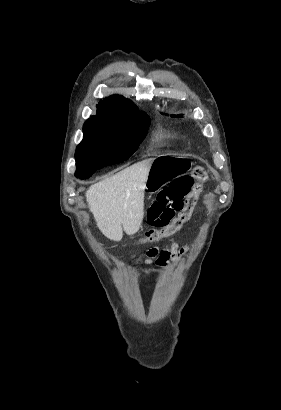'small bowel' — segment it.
Masks as SVG:
<instances>
[{
    "label": "small bowel",
    "instance_id": "obj_1",
    "mask_svg": "<svg viewBox=\"0 0 281 410\" xmlns=\"http://www.w3.org/2000/svg\"><path fill=\"white\" fill-rule=\"evenodd\" d=\"M184 248L179 247L177 243H173L169 248H151L147 251L144 259L137 260L138 263L145 267L155 263L159 269H164L168 266L170 260L179 259L184 253Z\"/></svg>",
    "mask_w": 281,
    "mask_h": 410
}]
</instances>
